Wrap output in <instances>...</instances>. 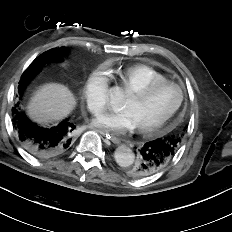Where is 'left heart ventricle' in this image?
Wrapping results in <instances>:
<instances>
[{
  "label": "left heart ventricle",
  "instance_id": "obj_1",
  "mask_svg": "<svg viewBox=\"0 0 232 232\" xmlns=\"http://www.w3.org/2000/svg\"><path fill=\"white\" fill-rule=\"evenodd\" d=\"M179 97L178 88L167 86L156 90L144 100L128 95L121 109L133 115L137 127L148 126L166 116L178 102Z\"/></svg>",
  "mask_w": 232,
  "mask_h": 232
}]
</instances>
